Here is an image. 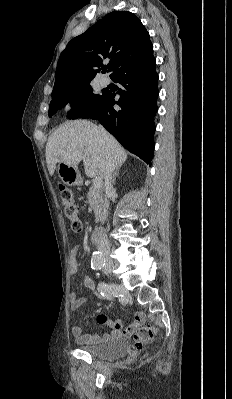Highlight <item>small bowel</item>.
Returning a JSON list of instances; mask_svg holds the SVG:
<instances>
[{"label": "small bowel", "mask_w": 232, "mask_h": 399, "mask_svg": "<svg viewBox=\"0 0 232 399\" xmlns=\"http://www.w3.org/2000/svg\"><path fill=\"white\" fill-rule=\"evenodd\" d=\"M85 253L80 251L78 248L70 250L69 254V271L75 273L78 270L79 263L85 260ZM80 283L85 285L89 291L96 293L94 283L85 276H80ZM84 304V300L79 299L75 292H71L69 296V310L75 312ZM145 315L143 312H138L134 321L127 327L121 326L112 316L99 314L95 317V321L98 323H104L112 329L110 335L105 334L100 336L98 333H83L82 328L78 325H74L71 329L74 341L77 345H109L114 343L115 340L119 339L122 333H132L139 330L144 323Z\"/></svg>", "instance_id": "1"}]
</instances>
